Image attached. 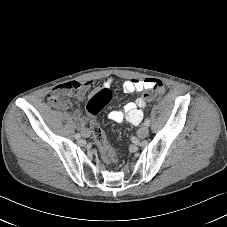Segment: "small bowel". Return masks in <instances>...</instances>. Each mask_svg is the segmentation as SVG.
<instances>
[{
  "label": "small bowel",
  "mask_w": 227,
  "mask_h": 227,
  "mask_svg": "<svg viewBox=\"0 0 227 227\" xmlns=\"http://www.w3.org/2000/svg\"><path fill=\"white\" fill-rule=\"evenodd\" d=\"M152 79L138 80L131 79L126 80L122 84V89L125 93L141 92L144 89H148L151 86ZM112 78H106L104 81V87L108 88L112 85ZM76 84V89H68L67 85ZM93 86V81L86 82H68L57 86L53 89L49 95L52 103L60 109H71L73 107L71 101L64 97V95H72L78 99L82 100L86 92ZM54 93H59L57 98L54 97ZM146 107L145 98H137L134 102H129L120 110H114L110 112L107 118L113 122H123L126 121L132 125H138L143 119V109ZM73 117L77 121V124L84 135L85 131L89 129L85 126L86 119L83 117L80 110H75L73 112Z\"/></svg>",
  "instance_id": "small-bowel-1"
}]
</instances>
